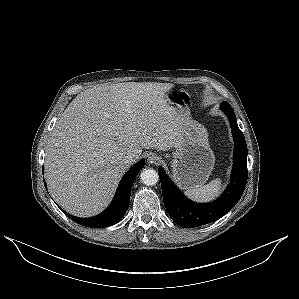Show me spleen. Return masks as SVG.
Masks as SVG:
<instances>
[{"label": "spleen", "instance_id": "3e777b00", "mask_svg": "<svg viewBox=\"0 0 299 299\" xmlns=\"http://www.w3.org/2000/svg\"><path fill=\"white\" fill-rule=\"evenodd\" d=\"M221 188V180L217 178L206 185L186 190L185 195L196 201H210L219 195Z\"/></svg>", "mask_w": 299, "mask_h": 299}]
</instances>
